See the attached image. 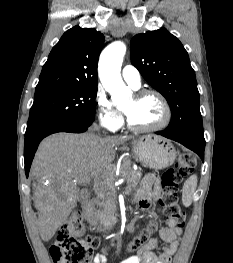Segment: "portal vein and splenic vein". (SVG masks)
<instances>
[{
  "label": "portal vein and splenic vein",
  "mask_w": 233,
  "mask_h": 263,
  "mask_svg": "<svg viewBox=\"0 0 233 263\" xmlns=\"http://www.w3.org/2000/svg\"><path fill=\"white\" fill-rule=\"evenodd\" d=\"M78 182L81 184H89L90 183V177L84 176L78 179Z\"/></svg>",
  "instance_id": "obj_1"
}]
</instances>
